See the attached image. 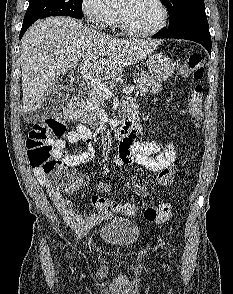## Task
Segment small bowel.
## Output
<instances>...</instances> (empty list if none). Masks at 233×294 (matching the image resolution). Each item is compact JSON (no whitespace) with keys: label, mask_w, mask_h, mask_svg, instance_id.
Segmentation results:
<instances>
[{"label":"small bowel","mask_w":233,"mask_h":294,"mask_svg":"<svg viewBox=\"0 0 233 294\" xmlns=\"http://www.w3.org/2000/svg\"><path fill=\"white\" fill-rule=\"evenodd\" d=\"M79 142L86 144V148L82 153L70 154L65 151L66 143L77 144ZM55 146L58 155L64 159L69 167L89 164L95 157V148L91 143V132L81 123L76 124L64 137L56 139ZM175 159L176 150L172 144H168L164 149H161L160 145L155 141L137 142L133 140L123 141L119 144L114 162L118 166L137 164L148 171L157 173L154 183L170 186L176 173ZM35 174L39 182L47 188L50 199L65 221L77 232H87L93 226L109 219L113 212L121 209L105 197L93 196L92 204L99 212L90 215L83 214L74 208L72 201L62 196L61 191L51 185L49 178L44 173L39 169H35ZM74 176L76 177L78 187L92 186L103 193L111 190L109 184L94 181L84 173L77 172L74 173ZM128 187L135 194L145 197L150 184L141 185L137 180H131L128 183Z\"/></svg>","instance_id":"c3829d8e"}]
</instances>
